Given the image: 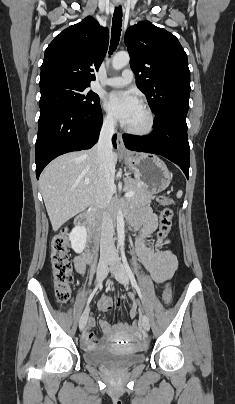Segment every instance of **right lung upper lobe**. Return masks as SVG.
I'll list each match as a JSON object with an SVG mask.
<instances>
[{"instance_id": "right-lung-upper-lobe-1", "label": "right lung upper lobe", "mask_w": 235, "mask_h": 404, "mask_svg": "<svg viewBox=\"0 0 235 404\" xmlns=\"http://www.w3.org/2000/svg\"><path fill=\"white\" fill-rule=\"evenodd\" d=\"M108 43V29L91 16L66 28L45 50L40 85L67 82L89 87L95 80L92 72L103 61Z\"/></svg>"}]
</instances>
